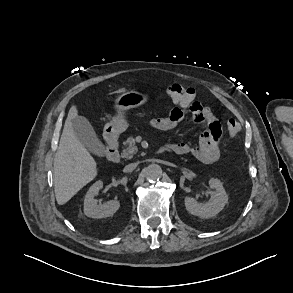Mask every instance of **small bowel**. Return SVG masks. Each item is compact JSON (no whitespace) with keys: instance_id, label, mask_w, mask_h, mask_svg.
I'll use <instances>...</instances> for the list:
<instances>
[{"instance_id":"1","label":"small bowel","mask_w":293,"mask_h":293,"mask_svg":"<svg viewBox=\"0 0 293 293\" xmlns=\"http://www.w3.org/2000/svg\"><path fill=\"white\" fill-rule=\"evenodd\" d=\"M185 113L191 114L193 121L196 124L204 125L206 129L200 135L197 145L191 146L186 142H179L170 145L172 151L180 155L192 154L199 161L206 164L215 162L220 156L219 142L222 132L220 123L209 107H202L198 101L190 110L175 107L167 117L151 119L150 125L161 131L173 129L181 124Z\"/></svg>"}]
</instances>
